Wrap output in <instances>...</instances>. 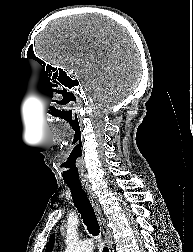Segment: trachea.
Wrapping results in <instances>:
<instances>
[{
	"mask_svg": "<svg viewBox=\"0 0 193 252\" xmlns=\"http://www.w3.org/2000/svg\"><path fill=\"white\" fill-rule=\"evenodd\" d=\"M67 186L71 190L74 205L81 214L87 230L91 235L98 236L100 233L98 220L96 218L93 206L81 184L67 183ZM104 252H109L106 247L104 248Z\"/></svg>",
	"mask_w": 193,
	"mask_h": 252,
	"instance_id": "1",
	"label": "trachea"
}]
</instances>
